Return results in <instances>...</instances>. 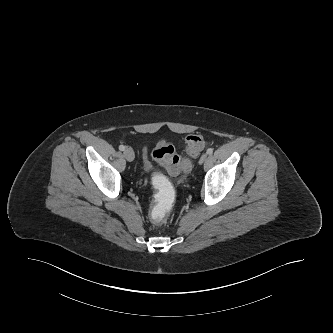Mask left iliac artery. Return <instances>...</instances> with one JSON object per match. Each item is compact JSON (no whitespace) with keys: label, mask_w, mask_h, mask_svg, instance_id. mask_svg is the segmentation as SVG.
Masks as SVG:
<instances>
[{"label":"left iliac artery","mask_w":333,"mask_h":333,"mask_svg":"<svg viewBox=\"0 0 333 333\" xmlns=\"http://www.w3.org/2000/svg\"><path fill=\"white\" fill-rule=\"evenodd\" d=\"M206 153H207L208 155H211V154L213 153V149H212V148L207 149Z\"/></svg>","instance_id":"44dca946"}]
</instances>
